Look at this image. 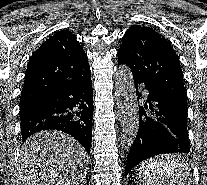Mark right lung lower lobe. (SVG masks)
I'll return each mask as SVG.
<instances>
[{"label": "right lung lower lobe", "mask_w": 207, "mask_h": 185, "mask_svg": "<svg viewBox=\"0 0 207 185\" xmlns=\"http://www.w3.org/2000/svg\"><path fill=\"white\" fill-rule=\"evenodd\" d=\"M22 141L42 130H60L76 138L90 153L93 126L91 74L53 95L20 108Z\"/></svg>", "instance_id": "obj_1"}]
</instances>
